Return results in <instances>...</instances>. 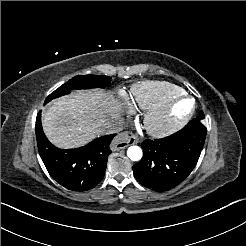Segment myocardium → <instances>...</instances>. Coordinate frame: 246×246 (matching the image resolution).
Wrapping results in <instances>:
<instances>
[{
  "label": "myocardium",
  "mask_w": 246,
  "mask_h": 246,
  "mask_svg": "<svg viewBox=\"0 0 246 246\" xmlns=\"http://www.w3.org/2000/svg\"><path fill=\"white\" fill-rule=\"evenodd\" d=\"M184 100L192 101L190 98L182 97L177 100H172L163 106L149 111L146 116V122L148 131L152 136L164 137L180 130L186 124H188L194 114V106H192V108L186 114L177 116L168 123H160L162 118L172 114L177 104Z\"/></svg>",
  "instance_id": "myocardium-1"
}]
</instances>
